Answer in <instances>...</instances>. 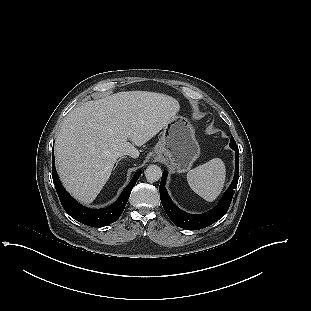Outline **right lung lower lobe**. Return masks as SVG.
<instances>
[{
  "label": "right lung lower lobe",
  "mask_w": 311,
  "mask_h": 311,
  "mask_svg": "<svg viewBox=\"0 0 311 311\" xmlns=\"http://www.w3.org/2000/svg\"><path fill=\"white\" fill-rule=\"evenodd\" d=\"M140 175L141 171H137L134 174L133 178L122 191L119 198L111 206L102 209H88L76 202L61 185L54 164V149L52 150V177L61 204L71 217L88 226H106L115 222L122 214L129 199L131 190Z\"/></svg>",
  "instance_id": "1"
}]
</instances>
